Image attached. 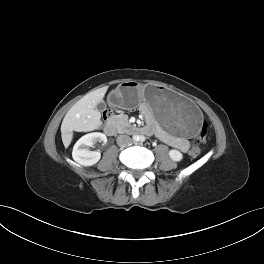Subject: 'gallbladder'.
I'll use <instances>...</instances> for the list:
<instances>
[{
  "label": "gallbladder",
  "instance_id": "1",
  "mask_svg": "<svg viewBox=\"0 0 264 264\" xmlns=\"http://www.w3.org/2000/svg\"><path fill=\"white\" fill-rule=\"evenodd\" d=\"M96 108H97V110H99V111H103V110H105V108H106V104H105V102H103V101L98 102L97 105H96Z\"/></svg>",
  "mask_w": 264,
  "mask_h": 264
}]
</instances>
